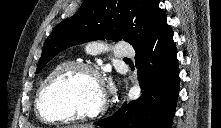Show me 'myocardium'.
<instances>
[{
	"label": "myocardium",
	"instance_id": "myocardium-1",
	"mask_svg": "<svg viewBox=\"0 0 221 128\" xmlns=\"http://www.w3.org/2000/svg\"><path fill=\"white\" fill-rule=\"evenodd\" d=\"M75 71H85L87 73L92 74L95 77V79L98 81V83L101 85L103 89V99L101 101V104L96 109L86 110L76 115L70 114L66 116H59V115L47 114L43 109V100L46 91L53 83H55L60 79H63L64 77L72 74ZM107 108H108V99L106 91L104 89L103 80L99 71L92 65L81 61L69 62L60 69H58L57 71H55L54 73H52L51 75H49L38 88L35 99V109L38 118L48 123H69L80 120L95 119L102 116L106 112Z\"/></svg>",
	"mask_w": 221,
	"mask_h": 128
}]
</instances>
